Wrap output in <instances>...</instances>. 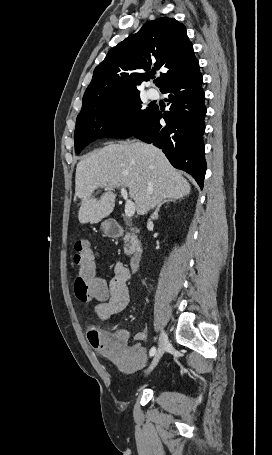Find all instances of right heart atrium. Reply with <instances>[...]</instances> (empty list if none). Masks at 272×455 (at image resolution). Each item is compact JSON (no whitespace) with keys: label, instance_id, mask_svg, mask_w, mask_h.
<instances>
[{"label":"right heart atrium","instance_id":"right-heart-atrium-1","mask_svg":"<svg viewBox=\"0 0 272 455\" xmlns=\"http://www.w3.org/2000/svg\"><path fill=\"white\" fill-rule=\"evenodd\" d=\"M132 122L131 112L124 109L118 116V123L122 126H129Z\"/></svg>","mask_w":272,"mask_h":455}]
</instances>
